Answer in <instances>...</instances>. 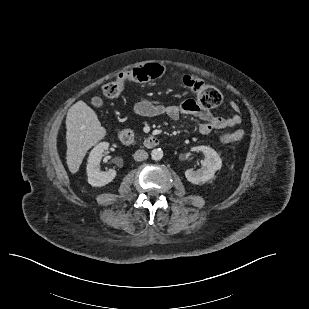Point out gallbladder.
Segmentation results:
<instances>
[{"instance_id":"gallbladder-1","label":"gallbladder","mask_w":309,"mask_h":309,"mask_svg":"<svg viewBox=\"0 0 309 309\" xmlns=\"http://www.w3.org/2000/svg\"><path fill=\"white\" fill-rule=\"evenodd\" d=\"M91 104L95 107H101L103 105V101L99 97H93L91 99Z\"/></svg>"}]
</instances>
